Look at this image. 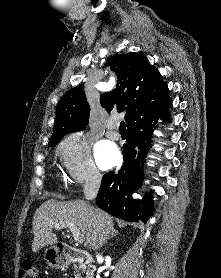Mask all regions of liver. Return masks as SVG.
<instances>
[{"label": "liver", "instance_id": "liver-1", "mask_svg": "<svg viewBox=\"0 0 221 278\" xmlns=\"http://www.w3.org/2000/svg\"><path fill=\"white\" fill-rule=\"evenodd\" d=\"M62 222L73 223L82 233L85 247L93 250L102 247L116 231L112 217L86 201L49 199L41 204L33 217L32 251L37 252L45 246L56 244L58 238L49 228Z\"/></svg>", "mask_w": 221, "mask_h": 278}]
</instances>
